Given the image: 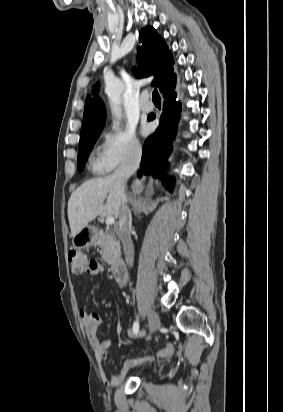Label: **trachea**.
Here are the masks:
<instances>
[{
  "label": "trachea",
  "mask_w": 283,
  "mask_h": 412,
  "mask_svg": "<svg viewBox=\"0 0 283 412\" xmlns=\"http://www.w3.org/2000/svg\"><path fill=\"white\" fill-rule=\"evenodd\" d=\"M152 100H153V102H161V98H160V95H159L157 89H154V91L152 93Z\"/></svg>",
  "instance_id": "obj_1"
}]
</instances>
